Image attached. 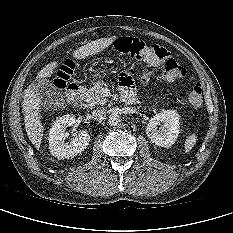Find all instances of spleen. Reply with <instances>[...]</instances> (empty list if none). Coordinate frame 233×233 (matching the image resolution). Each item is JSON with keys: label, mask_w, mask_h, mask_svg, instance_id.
Listing matches in <instances>:
<instances>
[{"label": "spleen", "mask_w": 233, "mask_h": 233, "mask_svg": "<svg viewBox=\"0 0 233 233\" xmlns=\"http://www.w3.org/2000/svg\"><path fill=\"white\" fill-rule=\"evenodd\" d=\"M197 142V135L195 133L191 134L190 136H188L185 140V144H184V149L186 153H189L192 148L194 147V145Z\"/></svg>", "instance_id": "3e777b00"}]
</instances>
